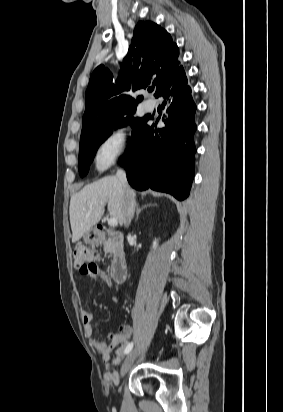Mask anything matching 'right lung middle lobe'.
<instances>
[{"mask_svg": "<svg viewBox=\"0 0 283 412\" xmlns=\"http://www.w3.org/2000/svg\"><path fill=\"white\" fill-rule=\"evenodd\" d=\"M135 111L136 110H134L127 116V118H124L117 126H115L117 128L119 126L130 124L131 127H133V136L129 148L132 146L136 134L148 117L144 116L142 118H134L132 115ZM113 128L103 132L94 133L80 139L78 169L82 177L88 173L89 166L93 161L98 147L112 134Z\"/></svg>", "mask_w": 283, "mask_h": 412, "instance_id": "1", "label": "right lung middle lobe"}]
</instances>
